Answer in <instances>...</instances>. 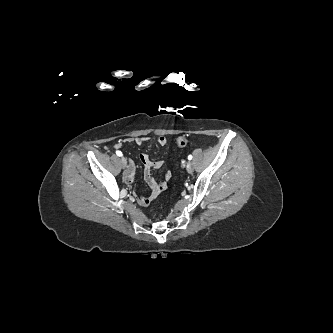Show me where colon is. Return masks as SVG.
Listing matches in <instances>:
<instances>
[{
	"mask_svg": "<svg viewBox=\"0 0 333 333\" xmlns=\"http://www.w3.org/2000/svg\"><path fill=\"white\" fill-rule=\"evenodd\" d=\"M189 143V140L186 137H179L177 139L178 147H185Z\"/></svg>",
	"mask_w": 333,
	"mask_h": 333,
	"instance_id": "5ec220e1",
	"label": "colon"
}]
</instances>
